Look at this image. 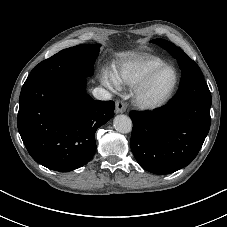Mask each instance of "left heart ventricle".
Here are the masks:
<instances>
[{
    "instance_id": "1",
    "label": "left heart ventricle",
    "mask_w": 227,
    "mask_h": 227,
    "mask_svg": "<svg viewBox=\"0 0 227 227\" xmlns=\"http://www.w3.org/2000/svg\"><path fill=\"white\" fill-rule=\"evenodd\" d=\"M175 74L172 70L166 69L160 72L151 83L146 98L155 101L162 98L173 86Z\"/></svg>"
}]
</instances>
